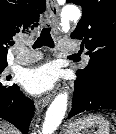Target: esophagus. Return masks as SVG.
<instances>
[{
    "label": "esophagus",
    "instance_id": "34e87169",
    "mask_svg": "<svg viewBox=\"0 0 116 134\" xmlns=\"http://www.w3.org/2000/svg\"><path fill=\"white\" fill-rule=\"evenodd\" d=\"M47 6H48V9L50 12L52 23L54 25V32L56 34H58L59 33L58 22H59V16H60L59 7L55 0H47ZM50 100H51V96H46V97L42 98L41 100L37 101L35 104L37 111H40L45 106H47L49 104Z\"/></svg>",
    "mask_w": 116,
    "mask_h": 134
}]
</instances>
